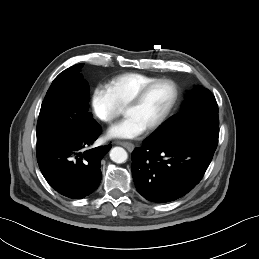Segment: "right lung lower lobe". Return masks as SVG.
<instances>
[{
  "label": "right lung lower lobe",
  "mask_w": 259,
  "mask_h": 259,
  "mask_svg": "<svg viewBox=\"0 0 259 259\" xmlns=\"http://www.w3.org/2000/svg\"><path fill=\"white\" fill-rule=\"evenodd\" d=\"M101 133L96 122L74 132L55 133L37 145L39 168L58 193L71 199H81L94 192L101 181L102 157L111 144L88 148Z\"/></svg>",
  "instance_id": "obj_1"
}]
</instances>
